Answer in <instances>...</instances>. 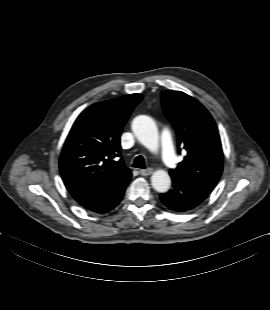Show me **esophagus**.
<instances>
[{
  "label": "esophagus",
  "instance_id": "obj_1",
  "mask_svg": "<svg viewBox=\"0 0 270 310\" xmlns=\"http://www.w3.org/2000/svg\"><path fill=\"white\" fill-rule=\"evenodd\" d=\"M139 172L142 176H148L153 173V169L152 168L141 169Z\"/></svg>",
  "mask_w": 270,
  "mask_h": 310
}]
</instances>
